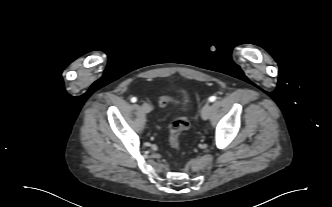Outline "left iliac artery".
Returning a JSON list of instances; mask_svg holds the SVG:
<instances>
[{"label": "left iliac artery", "mask_w": 332, "mask_h": 207, "mask_svg": "<svg viewBox=\"0 0 332 207\" xmlns=\"http://www.w3.org/2000/svg\"><path fill=\"white\" fill-rule=\"evenodd\" d=\"M217 97L216 96H211L208 100L209 102H214L216 101Z\"/></svg>", "instance_id": "obj_1"}]
</instances>
